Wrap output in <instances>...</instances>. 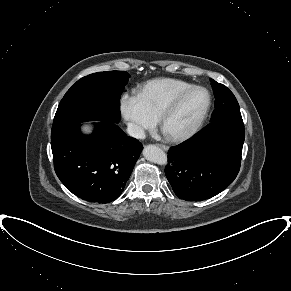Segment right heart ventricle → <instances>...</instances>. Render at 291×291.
<instances>
[{"label":"right heart ventricle","instance_id":"right-heart-ventricle-1","mask_svg":"<svg viewBox=\"0 0 291 291\" xmlns=\"http://www.w3.org/2000/svg\"><path fill=\"white\" fill-rule=\"evenodd\" d=\"M193 86L192 83L176 78H157L137 89L136 96L155 119L164 107L179 92Z\"/></svg>","mask_w":291,"mask_h":291}]
</instances>
